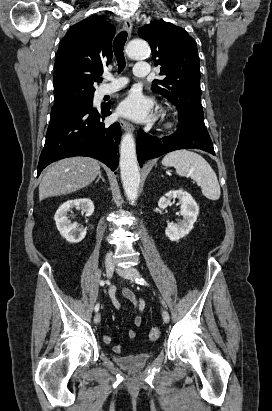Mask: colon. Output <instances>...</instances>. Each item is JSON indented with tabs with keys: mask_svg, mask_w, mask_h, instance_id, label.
<instances>
[{
	"mask_svg": "<svg viewBox=\"0 0 272 411\" xmlns=\"http://www.w3.org/2000/svg\"><path fill=\"white\" fill-rule=\"evenodd\" d=\"M160 335H161V331L157 327L152 328L149 332V338L151 340H157L160 337Z\"/></svg>",
	"mask_w": 272,
	"mask_h": 411,
	"instance_id": "obj_1",
	"label": "colon"
}]
</instances>
